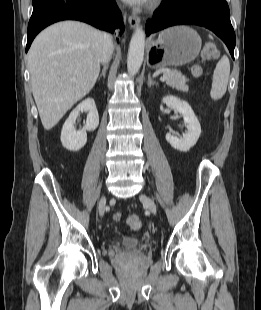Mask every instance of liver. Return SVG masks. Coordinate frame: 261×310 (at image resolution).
<instances>
[{"label": "liver", "mask_w": 261, "mask_h": 310, "mask_svg": "<svg viewBox=\"0 0 261 310\" xmlns=\"http://www.w3.org/2000/svg\"><path fill=\"white\" fill-rule=\"evenodd\" d=\"M104 33L78 21L44 29L28 52L32 93L46 130L94 87L100 72Z\"/></svg>", "instance_id": "1"}]
</instances>
